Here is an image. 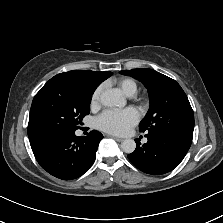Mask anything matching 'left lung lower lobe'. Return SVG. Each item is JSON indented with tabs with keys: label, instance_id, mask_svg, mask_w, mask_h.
<instances>
[{
	"label": "left lung lower lobe",
	"instance_id": "1",
	"mask_svg": "<svg viewBox=\"0 0 223 223\" xmlns=\"http://www.w3.org/2000/svg\"><path fill=\"white\" fill-rule=\"evenodd\" d=\"M145 137L148 141L143 146H140L139 140H135L136 149L128 158L138 169L152 175L170 172L178 166L192 142L163 132H148Z\"/></svg>",
	"mask_w": 223,
	"mask_h": 223
}]
</instances>
